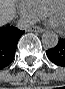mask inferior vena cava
Returning a JSON list of instances; mask_svg holds the SVG:
<instances>
[{
	"instance_id": "obj_1",
	"label": "inferior vena cava",
	"mask_w": 65,
	"mask_h": 89,
	"mask_svg": "<svg viewBox=\"0 0 65 89\" xmlns=\"http://www.w3.org/2000/svg\"><path fill=\"white\" fill-rule=\"evenodd\" d=\"M35 23H36V21H35L34 19L22 17V18H20V20L18 21L17 26H18L20 29H27V28H29L30 26L34 25Z\"/></svg>"
}]
</instances>
